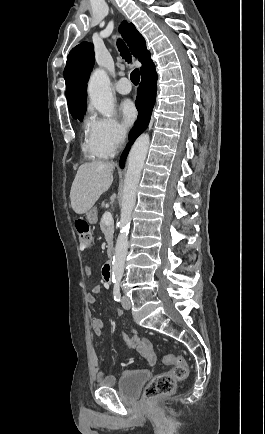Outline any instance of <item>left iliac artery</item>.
<instances>
[{
    "label": "left iliac artery",
    "instance_id": "left-iliac-artery-1",
    "mask_svg": "<svg viewBox=\"0 0 265 434\" xmlns=\"http://www.w3.org/2000/svg\"><path fill=\"white\" fill-rule=\"evenodd\" d=\"M114 283H115L113 289L114 300L120 302L121 301L120 283L119 282H114Z\"/></svg>",
    "mask_w": 265,
    "mask_h": 434
}]
</instances>
